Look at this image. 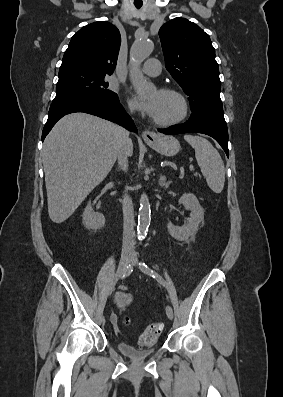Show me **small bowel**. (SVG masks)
<instances>
[{"label":"small bowel","mask_w":283,"mask_h":397,"mask_svg":"<svg viewBox=\"0 0 283 397\" xmlns=\"http://www.w3.org/2000/svg\"><path fill=\"white\" fill-rule=\"evenodd\" d=\"M123 289H124V287H123ZM114 302L120 310L126 311L134 303V297L127 292L120 291V292L115 293ZM110 320H111L115 330L119 331L120 328L118 326V319H117V316L115 313L111 314Z\"/></svg>","instance_id":"1"}]
</instances>
